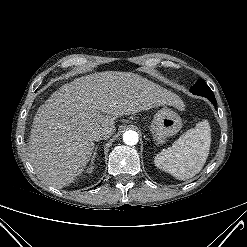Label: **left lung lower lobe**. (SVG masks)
I'll return each mask as SVG.
<instances>
[{
  "instance_id": "obj_1",
  "label": "left lung lower lobe",
  "mask_w": 247,
  "mask_h": 247,
  "mask_svg": "<svg viewBox=\"0 0 247 247\" xmlns=\"http://www.w3.org/2000/svg\"><path fill=\"white\" fill-rule=\"evenodd\" d=\"M214 105H216V99H215V96L213 97H207Z\"/></svg>"
}]
</instances>
